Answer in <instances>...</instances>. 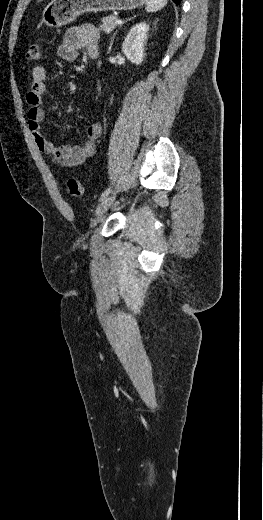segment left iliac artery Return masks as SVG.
<instances>
[{
    "instance_id": "obj_1",
    "label": "left iliac artery",
    "mask_w": 263,
    "mask_h": 520,
    "mask_svg": "<svg viewBox=\"0 0 263 520\" xmlns=\"http://www.w3.org/2000/svg\"><path fill=\"white\" fill-rule=\"evenodd\" d=\"M110 191H111V188H110V187L107 188V189L102 193V195H101L99 201H102L104 198H106V197L109 195Z\"/></svg>"
}]
</instances>
